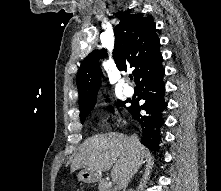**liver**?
I'll use <instances>...</instances> for the list:
<instances>
[{
	"instance_id": "1",
	"label": "liver",
	"mask_w": 221,
	"mask_h": 191,
	"mask_svg": "<svg viewBox=\"0 0 221 191\" xmlns=\"http://www.w3.org/2000/svg\"><path fill=\"white\" fill-rule=\"evenodd\" d=\"M134 148L137 150L135 156ZM148 155L145 146L139 141L135 146L132 145L130 137L124 134H99L86 139L79 147L71 164V172L88 168L102 173L112 168V179L121 188L129 175L134 157L140 166Z\"/></svg>"
}]
</instances>
